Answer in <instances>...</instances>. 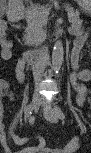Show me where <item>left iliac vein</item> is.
Instances as JSON below:
<instances>
[{
    "label": "left iliac vein",
    "mask_w": 91,
    "mask_h": 153,
    "mask_svg": "<svg viewBox=\"0 0 91 153\" xmlns=\"http://www.w3.org/2000/svg\"><path fill=\"white\" fill-rule=\"evenodd\" d=\"M44 113L46 118L48 119L49 122L51 123H56L58 121V115L56 112V109H44Z\"/></svg>",
    "instance_id": "4c4485c4"
}]
</instances>
